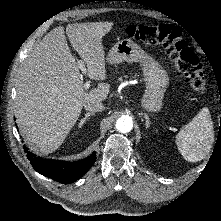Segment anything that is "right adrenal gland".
<instances>
[{
  "label": "right adrenal gland",
  "mask_w": 221,
  "mask_h": 221,
  "mask_svg": "<svg viewBox=\"0 0 221 221\" xmlns=\"http://www.w3.org/2000/svg\"><path fill=\"white\" fill-rule=\"evenodd\" d=\"M95 113L94 112H87L85 114V116L80 120L79 122V128H81L83 126V124L85 123V121L88 119V117L94 115Z\"/></svg>",
  "instance_id": "1"
}]
</instances>
